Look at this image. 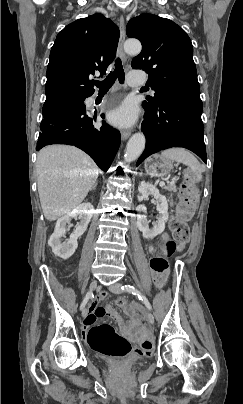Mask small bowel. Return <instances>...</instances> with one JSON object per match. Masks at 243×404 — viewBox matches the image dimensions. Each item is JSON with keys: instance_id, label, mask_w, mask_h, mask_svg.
<instances>
[{"instance_id": "obj_1", "label": "small bowel", "mask_w": 243, "mask_h": 404, "mask_svg": "<svg viewBox=\"0 0 243 404\" xmlns=\"http://www.w3.org/2000/svg\"><path fill=\"white\" fill-rule=\"evenodd\" d=\"M150 251L153 253L154 248L153 246H150ZM113 311L108 308V307H102V306H97L93 305L90 308L89 314L84 318L83 323H82V330L84 333H86L97 321V319L105 316L106 314H111ZM137 321L133 320L130 323L127 324H122L121 326V333L122 335L129 337V338H135V335L133 334V328L136 326Z\"/></svg>"}]
</instances>
